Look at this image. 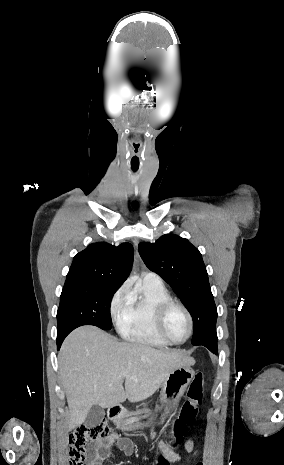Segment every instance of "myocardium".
<instances>
[{"label":"myocardium","mask_w":284,"mask_h":465,"mask_svg":"<svg viewBox=\"0 0 284 465\" xmlns=\"http://www.w3.org/2000/svg\"><path fill=\"white\" fill-rule=\"evenodd\" d=\"M175 307L181 308L185 312V314H186V316L188 318V321H189L188 334L181 341H173V340H171L167 336V334L165 332L166 318H167L169 312ZM155 328H156V332L159 335V337L163 341H165L167 344H169V345H182V344L186 343L191 338V336L193 334V331H194L193 316L190 313V311L188 310V308L186 306H184L183 304H181V303H179L177 301H174V300L166 301L159 307V309L157 311L156 321H155Z\"/></svg>","instance_id":"obj_1"}]
</instances>
